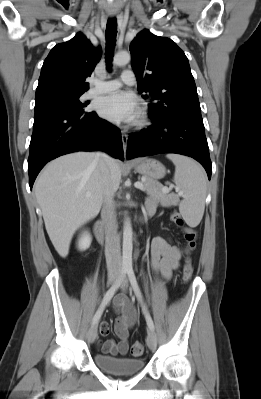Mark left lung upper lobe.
Segmentation results:
<instances>
[{
	"mask_svg": "<svg viewBox=\"0 0 261 399\" xmlns=\"http://www.w3.org/2000/svg\"><path fill=\"white\" fill-rule=\"evenodd\" d=\"M130 52L138 91L150 94L154 101L149 115L163 120L183 111H201L188 59L175 42L143 30L132 41Z\"/></svg>",
	"mask_w": 261,
	"mask_h": 399,
	"instance_id": "obj_1",
	"label": "left lung upper lobe"
}]
</instances>
